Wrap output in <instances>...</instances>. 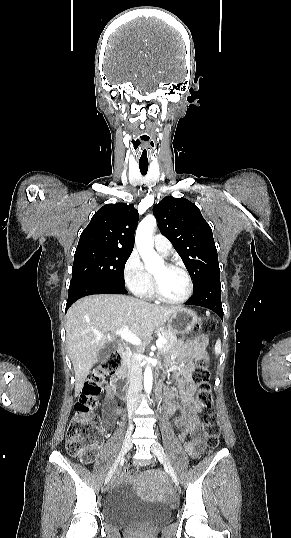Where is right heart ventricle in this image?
<instances>
[{
  "label": "right heart ventricle",
  "mask_w": 291,
  "mask_h": 538,
  "mask_svg": "<svg viewBox=\"0 0 291 538\" xmlns=\"http://www.w3.org/2000/svg\"><path fill=\"white\" fill-rule=\"evenodd\" d=\"M146 296H148V297L153 296L152 287L149 288L148 292L146 293Z\"/></svg>",
  "instance_id": "obj_1"
}]
</instances>
